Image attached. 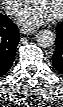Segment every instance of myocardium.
<instances>
[{
  "instance_id": "1",
  "label": "myocardium",
  "mask_w": 63,
  "mask_h": 107,
  "mask_svg": "<svg viewBox=\"0 0 63 107\" xmlns=\"http://www.w3.org/2000/svg\"><path fill=\"white\" fill-rule=\"evenodd\" d=\"M62 12H63V1L61 0L60 7H59L58 11L55 14H53V18L54 19L59 18L61 16Z\"/></svg>"
}]
</instances>
